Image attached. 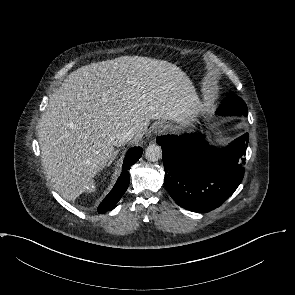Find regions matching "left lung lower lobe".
Returning <instances> with one entry per match:
<instances>
[{
	"label": "left lung lower lobe",
	"mask_w": 295,
	"mask_h": 295,
	"mask_svg": "<svg viewBox=\"0 0 295 295\" xmlns=\"http://www.w3.org/2000/svg\"><path fill=\"white\" fill-rule=\"evenodd\" d=\"M221 116H239L219 107ZM246 116V115H245ZM248 133L228 147L217 149L202 134L165 135L156 142L163 151L164 184L173 200L193 212H209L223 204L237 189L244 176Z\"/></svg>",
	"instance_id": "left-lung-lower-lobe-1"
}]
</instances>
